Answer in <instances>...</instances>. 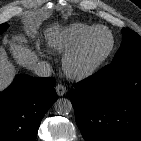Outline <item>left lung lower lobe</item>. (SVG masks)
Instances as JSON below:
<instances>
[{"label":"left lung lower lobe","instance_id":"0a47b994","mask_svg":"<svg viewBox=\"0 0 141 141\" xmlns=\"http://www.w3.org/2000/svg\"><path fill=\"white\" fill-rule=\"evenodd\" d=\"M69 98L86 141H141V56L105 66Z\"/></svg>","mask_w":141,"mask_h":141}]
</instances>
